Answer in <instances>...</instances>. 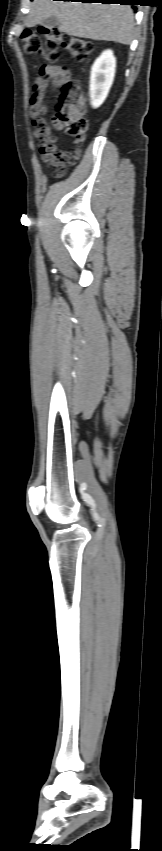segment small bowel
Wrapping results in <instances>:
<instances>
[{
  "label": "small bowel",
  "mask_w": 162,
  "mask_h": 851,
  "mask_svg": "<svg viewBox=\"0 0 162 851\" xmlns=\"http://www.w3.org/2000/svg\"><path fill=\"white\" fill-rule=\"evenodd\" d=\"M69 80L70 72L66 67L43 65L40 68V76L35 80L33 85L30 114L33 117L34 136L39 139L38 147L41 159L45 164L53 168L64 163L71 151H62L55 145L56 138L44 118L49 112L48 107L44 103L45 92L49 84L60 88ZM53 124L57 129H62L57 123L56 118H53Z\"/></svg>",
  "instance_id": "small-bowel-1"
}]
</instances>
